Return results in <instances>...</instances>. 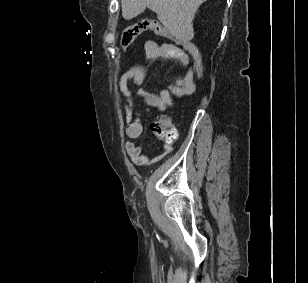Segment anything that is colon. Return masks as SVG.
<instances>
[{
    "instance_id": "obj_1",
    "label": "colon",
    "mask_w": 308,
    "mask_h": 283,
    "mask_svg": "<svg viewBox=\"0 0 308 283\" xmlns=\"http://www.w3.org/2000/svg\"><path fill=\"white\" fill-rule=\"evenodd\" d=\"M146 31H152L158 35L171 37V33L161 24L148 20H143L124 29L120 37L121 46L123 48L128 47L137 39V37H139L142 33ZM179 41L185 52H187L191 58L194 79L201 80L203 65L202 56L199 48L190 41ZM194 89L195 81L194 85L191 88V92H193ZM151 130L157 137L165 141H174L177 138V131L173 127L171 119L166 116H161L156 121H154L151 124Z\"/></svg>"
}]
</instances>
